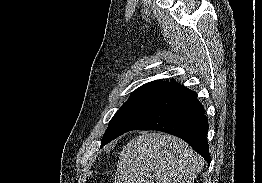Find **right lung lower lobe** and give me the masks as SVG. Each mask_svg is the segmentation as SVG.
<instances>
[{
    "instance_id": "1",
    "label": "right lung lower lobe",
    "mask_w": 262,
    "mask_h": 183,
    "mask_svg": "<svg viewBox=\"0 0 262 183\" xmlns=\"http://www.w3.org/2000/svg\"><path fill=\"white\" fill-rule=\"evenodd\" d=\"M203 110L194 91L171 82L155 94L122 134L131 130L166 132L183 139L210 163L208 119Z\"/></svg>"
}]
</instances>
